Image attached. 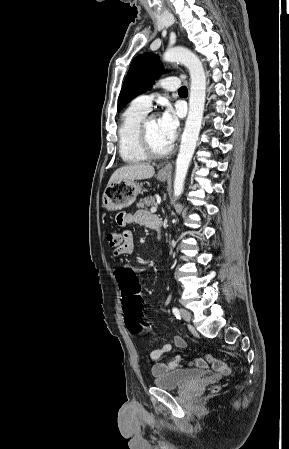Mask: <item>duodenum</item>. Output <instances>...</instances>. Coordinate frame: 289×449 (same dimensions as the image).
Returning a JSON list of instances; mask_svg holds the SVG:
<instances>
[{"label":"duodenum","mask_w":289,"mask_h":449,"mask_svg":"<svg viewBox=\"0 0 289 449\" xmlns=\"http://www.w3.org/2000/svg\"><path fill=\"white\" fill-rule=\"evenodd\" d=\"M154 229L157 231L158 238H159L160 237V224L155 225Z\"/></svg>","instance_id":"obj_1"}]
</instances>
